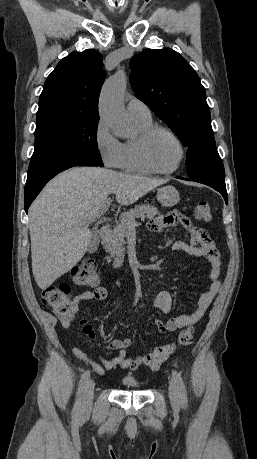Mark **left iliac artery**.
<instances>
[{
    "mask_svg": "<svg viewBox=\"0 0 257 459\" xmlns=\"http://www.w3.org/2000/svg\"><path fill=\"white\" fill-rule=\"evenodd\" d=\"M172 375H173L174 381H175V383L177 385L178 394H179V397H180L181 404L185 408L187 406V392H186V387H185L184 381H183L181 375L177 371L173 370L172 371Z\"/></svg>",
    "mask_w": 257,
    "mask_h": 459,
    "instance_id": "left-iliac-artery-1",
    "label": "left iliac artery"
}]
</instances>
